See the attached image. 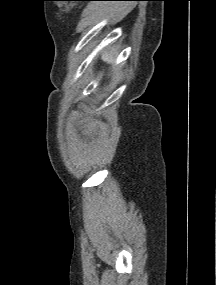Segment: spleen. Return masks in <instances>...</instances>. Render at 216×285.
<instances>
[{"instance_id": "3e777b00", "label": "spleen", "mask_w": 216, "mask_h": 285, "mask_svg": "<svg viewBox=\"0 0 216 285\" xmlns=\"http://www.w3.org/2000/svg\"><path fill=\"white\" fill-rule=\"evenodd\" d=\"M115 54L113 52H103L102 53V60L108 64H111L114 61Z\"/></svg>"}]
</instances>
